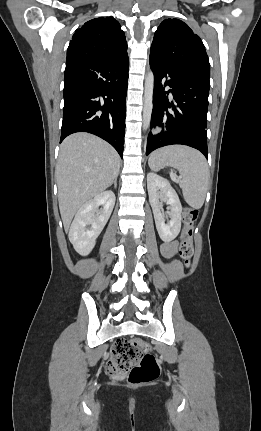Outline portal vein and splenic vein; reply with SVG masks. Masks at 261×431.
<instances>
[{"label": "portal vein and splenic vein", "instance_id": "18ae733b", "mask_svg": "<svg viewBox=\"0 0 261 431\" xmlns=\"http://www.w3.org/2000/svg\"><path fill=\"white\" fill-rule=\"evenodd\" d=\"M171 176L174 178V175H173V174H172ZM175 181H176V182H178V180H176V179H175Z\"/></svg>", "mask_w": 261, "mask_h": 431}]
</instances>
